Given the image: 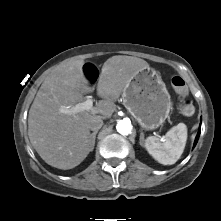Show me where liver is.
Masks as SVG:
<instances>
[{"label": "liver", "instance_id": "6515ba94", "mask_svg": "<svg viewBox=\"0 0 221 221\" xmlns=\"http://www.w3.org/2000/svg\"><path fill=\"white\" fill-rule=\"evenodd\" d=\"M83 65V60L73 61L46 78L29 110L30 142L48 165L58 169H72L87 157L93 150L89 123L110 117L127 83L149 67L137 57L112 56L104 62L99 75L97 94L102 100L94 111L65 113L63 110L82 102L85 94L94 91L84 76Z\"/></svg>", "mask_w": 221, "mask_h": 221}]
</instances>
